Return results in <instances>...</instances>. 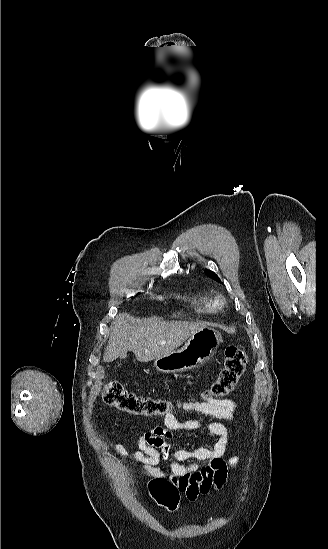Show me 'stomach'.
I'll return each mask as SVG.
<instances>
[{
    "mask_svg": "<svg viewBox=\"0 0 328 549\" xmlns=\"http://www.w3.org/2000/svg\"><path fill=\"white\" fill-rule=\"evenodd\" d=\"M220 343H222V337L216 329L203 327L188 339L182 349L164 357H158L154 365L161 373L191 371L208 363L217 353Z\"/></svg>",
    "mask_w": 328,
    "mask_h": 549,
    "instance_id": "obj_1",
    "label": "stomach"
}]
</instances>
